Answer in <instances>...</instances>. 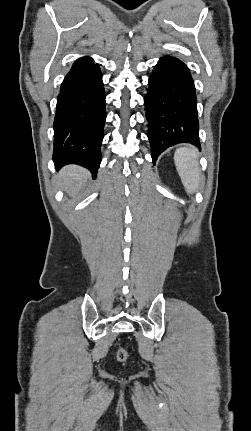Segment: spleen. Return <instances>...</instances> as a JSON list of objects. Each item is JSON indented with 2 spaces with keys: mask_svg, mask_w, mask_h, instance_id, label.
Here are the masks:
<instances>
[{
  "mask_svg": "<svg viewBox=\"0 0 251 431\" xmlns=\"http://www.w3.org/2000/svg\"><path fill=\"white\" fill-rule=\"evenodd\" d=\"M174 161L185 190L193 194L201 179L197 152L189 147L178 148L174 154Z\"/></svg>",
  "mask_w": 251,
  "mask_h": 431,
  "instance_id": "obj_1",
  "label": "spleen"
}]
</instances>
